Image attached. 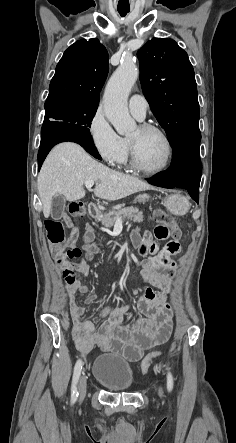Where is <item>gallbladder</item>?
I'll list each match as a JSON object with an SVG mask.
<instances>
[{"instance_id":"1","label":"gallbladder","mask_w":236,"mask_h":443,"mask_svg":"<svg viewBox=\"0 0 236 443\" xmlns=\"http://www.w3.org/2000/svg\"><path fill=\"white\" fill-rule=\"evenodd\" d=\"M66 206V199L63 195H56L51 202V217L55 220L60 219L63 216Z\"/></svg>"}]
</instances>
